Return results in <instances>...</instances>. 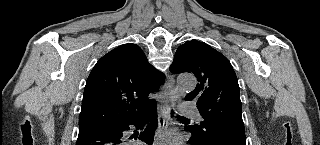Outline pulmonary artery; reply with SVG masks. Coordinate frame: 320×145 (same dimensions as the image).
Masks as SVG:
<instances>
[{"mask_svg": "<svg viewBox=\"0 0 320 145\" xmlns=\"http://www.w3.org/2000/svg\"><path fill=\"white\" fill-rule=\"evenodd\" d=\"M181 113L185 116H191L197 120H202V116L200 115V113L195 107L189 106V107L183 108L181 110Z\"/></svg>", "mask_w": 320, "mask_h": 145, "instance_id": "1", "label": "pulmonary artery"}]
</instances>
